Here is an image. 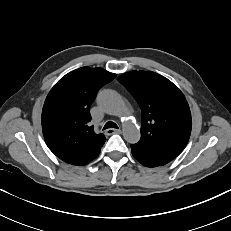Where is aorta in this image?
I'll list each match as a JSON object with an SVG mask.
<instances>
[{"instance_id":"1","label":"aorta","mask_w":231,"mask_h":231,"mask_svg":"<svg viewBox=\"0 0 231 231\" xmlns=\"http://www.w3.org/2000/svg\"><path fill=\"white\" fill-rule=\"evenodd\" d=\"M97 103L106 113L115 116H122L125 113L126 106L121 96L112 90H103L97 97ZM123 137L124 139L135 144L140 139V130L132 122H125L123 124Z\"/></svg>"}]
</instances>
